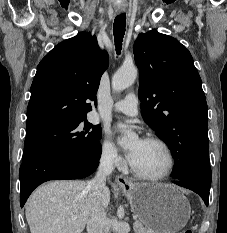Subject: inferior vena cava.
Listing matches in <instances>:
<instances>
[{
    "mask_svg": "<svg viewBox=\"0 0 227 233\" xmlns=\"http://www.w3.org/2000/svg\"><path fill=\"white\" fill-rule=\"evenodd\" d=\"M114 156L105 154L101 157L96 176L87 183L91 201L90 217L87 221V233H102L106 214L100 207V198L105 188L106 177L113 171Z\"/></svg>",
    "mask_w": 227,
    "mask_h": 233,
    "instance_id": "1",
    "label": "inferior vena cava"
}]
</instances>
